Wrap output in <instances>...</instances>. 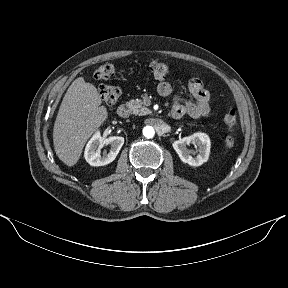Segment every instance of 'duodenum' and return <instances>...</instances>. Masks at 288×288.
Listing matches in <instances>:
<instances>
[{
	"label": "duodenum",
	"instance_id": "410a0bca",
	"mask_svg": "<svg viewBox=\"0 0 288 288\" xmlns=\"http://www.w3.org/2000/svg\"><path fill=\"white\" fill-rule=\"evenodd\" d=\"M117 113L122 118H127L130 115V108L126 104H121L118 109Z\"/></svg>",
	"mask_w": 288,
	"mask_h": 288
}]
</instances>
